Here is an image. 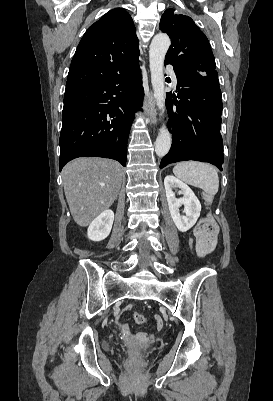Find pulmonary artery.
<instances>
[{
	"mask_svg": "<svg viewBox=\"0 0 273 401\" xmlns=\"http://www.w3.org/2000/svg\"><path fill=\"white\" fill-rule=\"evenodd\" d=\"M165 69L167 72H174L176 69V66L174 63H167L165 66ZM171 80H172L173 84L176 85V82H177L176 76H171Z\"/></svg>",
	"mask_w": 273,
	"mask_h": 401,
	"instance_id": "obj_1",
	"label": "pulmonary artery"
}]
</instances>
